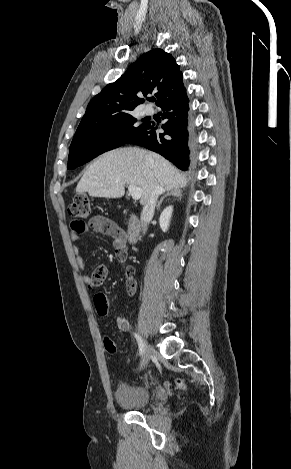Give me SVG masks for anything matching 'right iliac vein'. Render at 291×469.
<instances>
[{"mask_svg": "<svg viewBox=\"0 0 291 469\" xmlns=\"http://www.w3.org/2000/svg\"><path fill=\"white\" fill-rule=\"evenodd\" d=\"M143 359H142V363H141V367L140 368H143L145 367L148 362H149V359H150V355H151V348L149 346V344L147 343V341L144 340V353H143Z\"/></svg>", "mask_w": 291, "mask_h": 469, "instance_id": "1", "label": "right iliac vein"}]
</instances>
